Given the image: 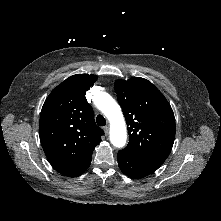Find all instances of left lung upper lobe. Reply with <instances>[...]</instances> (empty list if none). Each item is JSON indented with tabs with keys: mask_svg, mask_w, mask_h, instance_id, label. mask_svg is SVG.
<instances>
[{
	"mask_svg": "<svg viewBox=\"0 0 221 221\" xmlns=\"http://www.w3.org/2000/svg\"><path fill=\"white\" fill-rule=\"evenodd\" d=\"M115 91L126 119L129 143L124 149L160 167L175 139V118L162 93L148 80H117Z\"/></svg>",
	"mask_w": 221,
	"mask_h": 221,
	"instance_id": "5c2ea615",
	"label": "left lung upper lobe"
}]
</instances>
